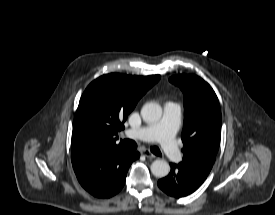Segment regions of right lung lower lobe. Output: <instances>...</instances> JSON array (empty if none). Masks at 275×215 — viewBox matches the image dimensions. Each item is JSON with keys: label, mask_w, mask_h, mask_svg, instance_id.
<instances>
[{"label": "right lung lower lobe", "mask_w": 275, "mask_h": 215, "mask_svg": "<svg viewBox=\"0 0 275 215\" xmlns=\"http://www.w3.org/2000/svg\"><path fill=\"white\" fill-rule=\"evenodd\" d=\"M139 156L126 148L99 151L73 168L85 190L95 197L109 198L122 189L131 163Z\"/></svg>", "instance_id": "98d812e1"}]
</instances>
